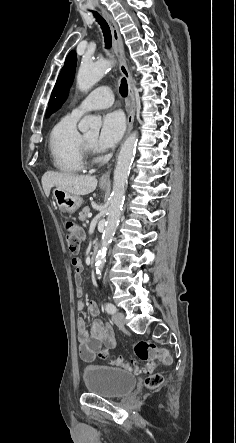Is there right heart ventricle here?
Here are the masks:
<instances>
[{
  "label": "right heart ventricle",
  "mask_w": 236,
  "mask_h": 443,
  "mask_svg": "<svg viewBox=\"0 0 236 443\" xmlns=\"http://www.w3.org/2000/svg\"><path fill=\"white\" fill-rule=\"evenodd\" d=\"M78 117L67 114L52 128L49 135V152L52 165L65 173H78L85 168L82 135L76 128Z\"/></svg>",
  "instance_id": "e07e8e85"
}]
</instances>
